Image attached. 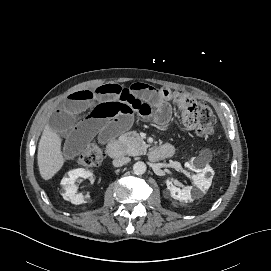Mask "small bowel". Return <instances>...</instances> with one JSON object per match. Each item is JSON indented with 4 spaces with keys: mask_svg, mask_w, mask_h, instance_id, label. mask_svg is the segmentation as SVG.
Segmentation results:
<instances>
[{
    "mask_svg": "<svg viewBox=\"0 0 271 271\" xmlns=\"http://www.w3.org/2000/svg\"><path fill=\"white\" fill-rule=\"evenodd\" d=\"M183 96L144 83H134L127 88L106 84L75 91L52 115L50 130L62 138L65 155L72 157L95 135L105 140L129 129L135 114L159 125L166 124L171 116L170 101L181 108ZM85 112L87 115L79 119ZM160 148L166 157L174 152L171 144Z\"/></svg>",
    "mask_w": 271,
    "mask_h": 271,
    "instance_id": "c3829d8e",
    "label": "small bowel"
}]
</instances>
